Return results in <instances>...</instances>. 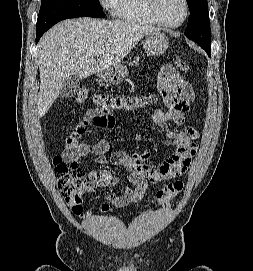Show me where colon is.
Here are the masks:
<instances>
[{
  "mask_svg": "<svg viewBox=\"0 0 253 271\" xmlns=\"http://www.w3.org/2000/svg\"><path fill=\"white\" fill-rule=\"evenodd\" d=\"M177 67L183 71H188L189 66L182 58H176ZM185 86L192 89L186 82ZM89 98V90L85 86H80L76 92L75 99L79 103H84ZM155 98H150L153 101ZM96 105L95 114H108L115 110H131L141 106L139 99L122 95H97L94 98ZM54 171L58 187L65 197L66 203L75 212L80 211L82 196L89 189V182L85 178L84 170L79 166L77 160H64L57 156L54 158ZM183 189V183L176 181L160 189L156 195V204L164 206L175 198ZM107 207V206H106Z\"/></svg>",
  "mask_w": 253,
  "mask_h": 271,
  "instance_id": "1",
  "label": "colon"
}]
</instances>
